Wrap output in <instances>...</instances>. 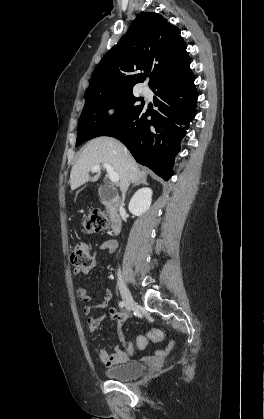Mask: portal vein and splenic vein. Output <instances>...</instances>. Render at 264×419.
Instances as JSON below:
<instances>
[{"mask_svg": "<svg viewBox=\"0 0 264 419\" xmlns=\"http://www.w3.org/2000/svg\"><path fill=\"white\" fill-rule=\"evenodd\" d=\"M102 166L106 169L109 178L111 182L118 183L119 182V175L113 170L112 166L110 164H102ZM101 168V165H95L92 167V172H97Z\"/></svg>", "mask_w": 264, "mask_h": 419, "instance_id": "obj_1", "label": "portal vein and splenic vein"}]
</instances>
